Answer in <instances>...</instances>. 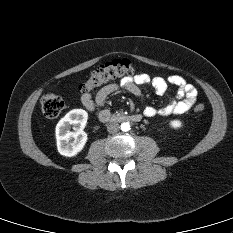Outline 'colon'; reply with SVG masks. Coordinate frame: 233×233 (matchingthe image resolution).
I'll use <instances>...</instances> for the list:
<instances>
[{
    "label": "colon",
    "instance_id": "colon-1",
    "mask_svg": "<svg viewBox=\"0 0 233 233\" xmlns=\"http://www.w3.org/2000/svg\"><path fill=\"white\" fill-rule=\"evenodd\" d=\"M135 73L133 64L127 59H118L108 62L94 70L88 79L80 86L83 93L102 86L110 81L131 76ZM41 111L46 118H56L64 108V101L61 97L53 93H44L40 100ZM205 109L203 103H198L194 107L195 113H201Z\"/></svg>",
    "mask_w": 233,
    "mask_h": 233
}]
</instances>
